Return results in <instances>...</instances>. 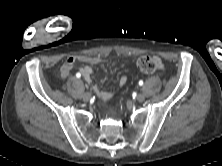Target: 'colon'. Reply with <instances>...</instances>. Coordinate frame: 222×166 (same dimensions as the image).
I'll return each instance as SVG.
<instances>
[{"label":"colon","mask_w":222,"mask_h":166,"mask_svg":"<svg viewBox=\"0 0 222 166\" xmlns=\"http://www.w3.org/2000/svg\"><path fill=\"white\" fill-rule=\"evenodd\" d=\"M137 67L146 74H153L162 71L164 68L162 61L154 56H142L137 61Z\"/></svg>","instance_id":"1"}]
</instances>
